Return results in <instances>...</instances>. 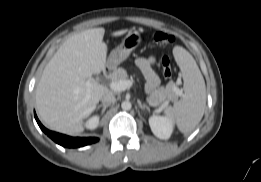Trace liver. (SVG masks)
<instances>
[{"label":"liver","instance_id":"obj_1","mask_svg":"<svg viewBox=\"0 0 261 182\" xmlns=\"http://www.w3.org/2000/svg\"><path fill=\"white\" fill-rule=\"evenodd\" d=\"M126 31H115L112 36ZM104 33V28H94L68 38L45 66L35 100L38 114L49 129L71 135L83 132V120L103 95L111 93L91 78L107 66Z\"/></svg>","mask_w":261,"mask_h":182}]
</instances>
